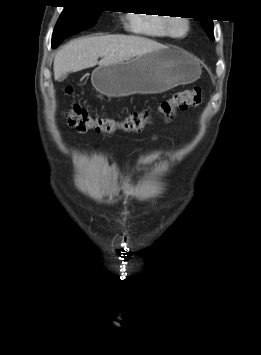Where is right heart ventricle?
Wrapping results in <instances>:
<instances>
[{
    "mask_svg": "<svg viewBox=\"0 0 261 355\" xmlns=\"http://www.w3.org/2000/svg\"><path fill=\"white\" fill-rule=\"evenodd\" d=\"M167 17L152 15L149 13H133L129 16V29L139 35L152 38H167L165 23Z\"/></svg>",
    "mask_w": 261,
    "mask_h": 355,
    "instance_id": "obj_1",
    "label": "right heart ventricle"
}]
</instances>
